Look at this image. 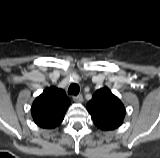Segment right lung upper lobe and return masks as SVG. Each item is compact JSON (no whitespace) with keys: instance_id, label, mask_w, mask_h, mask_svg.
<instances>
[{"instance_id":"cb5924a9","label":"right lung upper lobe","mask_w":160,"mask_h":158,"mask_svg":"<svg viewBox=\"0 0 160 158\" xmlns=\"http://www.w3.org/2000/svg\"><path fill=\"white\" fill-rule=\"evenodd\" d=\"M70 100L62 89L46 88L33 102L31 113L34 122L42 128L52 129L61 124Z\"/></svg>"}]
</instances>
